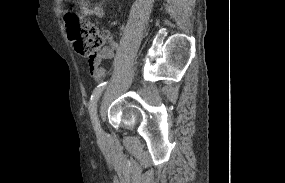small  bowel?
Segmentation results:
<instances>
[{
    "label": "small bowel",
    "instance_id": "obj_1",
    "mask_svg": "<svg viewBox=\"0 0 285 183\" xmlns=\"http://www.w3.org/2000/svg\"><path fill=\"white\" fill-rule=\"evenodd\" d=\"M81 12L85 16L103 18L105 10L101 2L91 4L87 0L80 2ZM117 46L112 45L102 49L96 59L89 61V73L96 81L102 80L105 75V68L102 65L103 61L112 60L115 57Z\"/></svg>",
    "mask_w": 285,
    "mask_h": 183
}]
</instances>
